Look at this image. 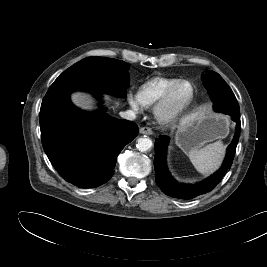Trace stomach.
I'll return each mask as SVG.
<instances>
[{
    "mask_svg": "<svg viewBox=\"0 0 267 267\" xmlns=\"http://www.w3.org/2000/svg\"><path fill=\"white\" fill-rule=\"evenodd\" d=\"M229 118L202 108L181 123L176 132V144L185 153L204 144L225 138L229 133Z\"/></svg>",
    "mask_w": 267,
    "mask_h": 267,
    "instance_id": "0dacf381",
    "label": "stomach"
}]
</instances>
